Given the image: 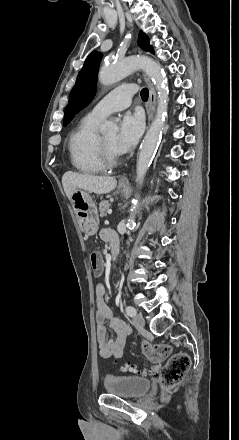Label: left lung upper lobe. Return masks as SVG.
I'll return each instance as SVG.
<instances>
[{
    "instance_id": "obj_1",
    "label": "left lung upper lobe",
    "mask_w": 239,
    "mask_h": 440,
    "mask_svg": "<svg viewBox=\"0 0 239 440\" xmlns=\"http://www.w3.org/2000/svg\"><path fill=\"white\" fill-rule=\"evenodd\" d=\"M138 43L142 49L154 53L148 36L142 31L139 34ZM101 58V53L93 51L85 60L84 66L79 72L76 84L69 96V102L65 109L64 126L69 123L78 111L93 99L97 82V71Z\"/></svg>"
}]
</instances>
